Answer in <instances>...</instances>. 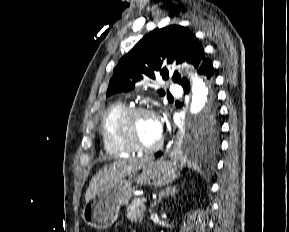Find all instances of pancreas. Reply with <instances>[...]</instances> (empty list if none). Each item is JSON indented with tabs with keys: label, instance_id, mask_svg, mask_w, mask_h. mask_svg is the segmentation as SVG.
Listing matches in <instances>:
<instances>
[{
	"label": "pancreas",
	"instance_id": "1",
	"mask_svg": "<svg viewBox=\"0 0 289 232\" xmlns=\"http://www.w3.org/2000/svg\"><path fill=\"white\" fill-rule=\"evenodd\" d=\"M146 207L144 203L140 200H133L132 203L127 207L126 217L131 222H141L143 219V214Z\"/></svg>",
	"mask_w": 289,
	"mask_h": 232
}]
</instances>
